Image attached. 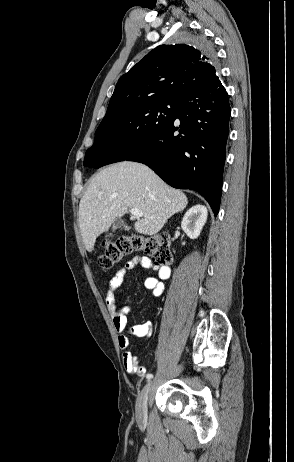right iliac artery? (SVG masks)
<instances>
[{"mask_svg": "<svg viewBox=\"0 0 294 462\" xmlns=\"http://www.w3.org/2000/svg\"><path fill=\"white\" fill-rule=\"evenodd\" d=\"M146 378H147V380H150V379L153 378V375L152 374H147Z\"/></svg>", "mask_w": 294, "mask_h": 462, "instance_id": "right-iliac-artery-1", "label": "right iliac artery"}]
</instances>
